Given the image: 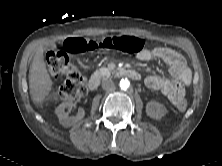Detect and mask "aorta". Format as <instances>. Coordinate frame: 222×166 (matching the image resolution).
<instances>
[{
    "instance_id": "1",
    "label": "aorta",
    "mask_w": 222,
    "mask_h": 166,
    "mask_svg": "<svg viewBox=\"0 0 222 166\" xmlns=\"http://www.w3.org/2000/svg\"><path fill=\"white\" fill-rule=\"evenodd\" d=\"M129 86H130V82L127 78L121 79V81H120V88L121 89L126 90L129 88Z\"/></svg>"
}]
</instances>
